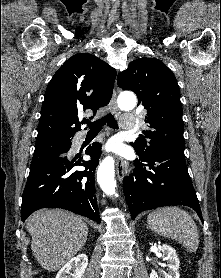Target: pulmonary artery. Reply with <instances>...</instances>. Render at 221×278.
<instances>
[{
    "mask_svg": "<svg viewBox=\"0 0 221 278\" xmlns=\"http://www.w3.org/2000/svg\"><path fill=\"white\" fill-rule=\"evenodd\" d=\"M120 121H121V127L123 129H133L135 127L136 119L135 116L133 115H129V114L123 115L121 116ZM79 139H81V136L79 137Z\"/></svg>",
    "mask_w": 221,
    "mask_h": 278,
    "instance_id": "obj_1",
    "label": "pulmonary artery"
}]
</instances>
